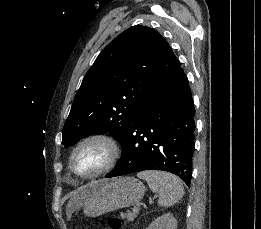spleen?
I'll return each mask as SVG.
<instances>
[{
  "mask_svg": "<svg viewBox=\"0 0 261 229\" xmlns=\"http://www.w3.org/2000/svg\"><path fill=\"white\" fill-rule=\"evenodd\" d=\"M139 179L147 181L151 191L157 193L159 207H171L184 195V187L179 179L166 171H142L137 173Z\"/></svg>",
  "mask_w": 261,
  "mask_h": 229,
  "instance_id": "spleen-1",
  "label": "spleen"
}]
</instances>
